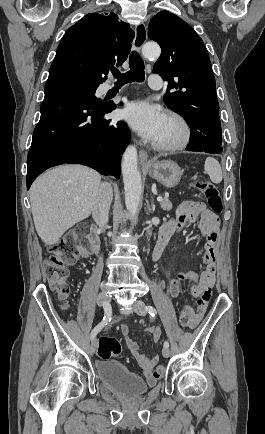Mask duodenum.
<instances>
[{
  "label": "duodenum",
  "instance_id": "1",
  "mask_svg": "<svg viewBox=\"0 0 265 434\" xmlns=\"http://www.w3.org/2000/svg\"><path fill=\"white\" fill-rule=\"evenodd\" d=\"M90 229L99 230L97 226H92ZM98 245H99V248H98V254H99L100 243H98ZM165 247H166V243L163 240H159L156 242L154 249H153V253H152V257L154 260H158L161 257V255L163 254V252L165 250Z\"/></svg>",
  "mask_w": 265,
  "mask_h": 434
}]
</instances>
